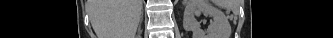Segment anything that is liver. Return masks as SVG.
<instances>
[{"label":"liver","instance_id":"1","mask_svg":"<svg viewBox=\"0 0 333 38\" xmlns=\"http://www.w3.org/2000/svg\"><path fill=\"white\" fill-rule=\"evenodd\" d=\"M142 0H90L89 16L98 38H134Z\"/></svg>","mask_w":333,"mask_h":38}]
</instances>
